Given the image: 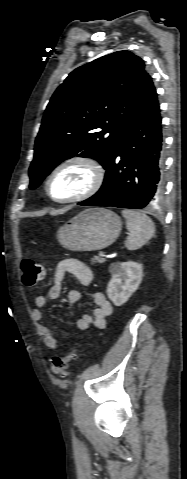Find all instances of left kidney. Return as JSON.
<instances>
[{"instance_id": "left-kidney-1", "label": "left kidney", "mask_w": 187, "mask_h": 479, "mask_svg": "<svg viewBox=\"0 0 187 479\" xmlns=\"http://www.w3.org/2000/svg\"><path fill=\"white\" fill-rule=\"evenodd\" d=\"M112 278L107 286L108 298L115 306H121L138 289L142 277L143 266L137 262H116L109 267Z\"/></svg>"}]
</instances>
